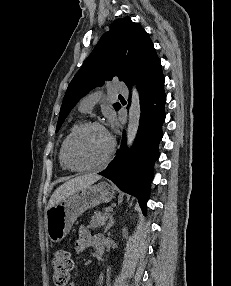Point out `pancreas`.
<instances>
[{"instance_id":"1","label":"pancreas","mask_w":231,"mask_h":286,"mask_svg":"<svg viewBox=\"0 0 231 286\" xmlns=\"http://www.w3.org/2000/svg\"><path fill=\"white\" fill-rule=\"evenodd\" d=\"M109 214L107 212H95L94 215L91 217L90 224L88 228L95 229L97 227H101L105 224Z\"/></svg>"}]
</instances>
